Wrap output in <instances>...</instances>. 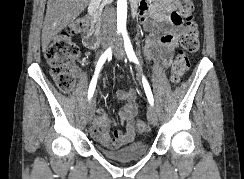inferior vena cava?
Wrapping results in <instances>:
<instances>
[{
	"instance_id": "obj_1",
	"label": "inferior vena cava",
	"mask_w": 244,
	"mask_h": 179,
	"mask_svg": "<svg viewBox=\"0 0 244 179\" xmlns=\"http://www.w3.org/2000/svg\"><path fill=\"white\" fill-rule=\"evenodd\" d=\"M107 20L102 24V30L103 34H111V32H115V12L114 10H110V12H107L106 14Z\"/></svg>"
}]
</instances>
